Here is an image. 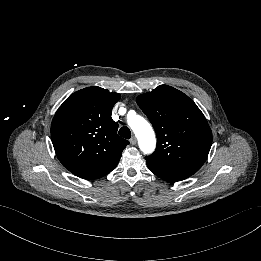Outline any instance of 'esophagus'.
Masks as SVG:
<instances>
[{
    "label": "esophagus",
    "instance_id": "esophagus-1",
    "mask_svg": "<svg viewBox=\"0 0 261 261\" xmlns=\"http://www.w3.org/2000/svg\"><path fill=\"white\" fill-rule=\"evenodd\" d=\"M130 143H131V145H136V143H137L136 137L133 136V137L130 139Z\"/></svg>",
    "mask_w": 261,
    "mask_h": 261
}]
</instances>
